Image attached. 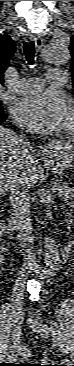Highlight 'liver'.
Listing matches in <instances>:
<instances>
[{
  "mask_svg": "<svg viewBox=\"0 0 74 366\" xmlns=\"http://www.w3.org/2000/svg\"><path fill=\"white\" fill-rule=\"evenodd\" d=\"M20 137L11 130L0 128V193L5 194L11 178L18 172L23 174L29 186H33L43 176V169L33 150L30 157L23 152Z\"/></svg>",
  "mask_w": 74,
  "mask_h": 366,
  "instance_id": "obj_1",
  "label": "liver"
}]
</instances>
